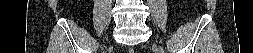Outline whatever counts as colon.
<instances>
[{
	"label": "colon",
	"instance_id": "colon-1",
	"mask_svg": "<svg viewBox=\"0 0 253 53\" xmlns=\"http://www.w3.org/2000/svg\"><path fill=\"white\" fill-rule=\"evenodd\" d=\"M129 53H132L133 51L131 50V49H129V51H128Z\"/></svg>",
	"mask_w": 253,
	"mask_h": 53
}]
</instances>
